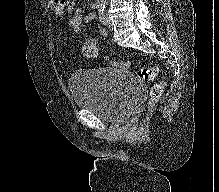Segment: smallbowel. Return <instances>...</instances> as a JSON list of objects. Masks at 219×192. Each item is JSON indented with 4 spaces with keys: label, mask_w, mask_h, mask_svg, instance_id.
I'll return each instance as SVG.
<instances>
[{
    "label": "small bowel",
    "mask_w": 219,
    "mask_h": 192,
    "mask_svg": "<svg viewBox=\"0 0 219 192\" xmlns=\"http://www.w3.org/2000/svg\"><path fill=\"white\" fill-rule=\"evenodd\" d=\"M49 7L57 15L63 14L65 10L72 12L73 14L69 20V25L76 33L81 32L85 25L96 17L95 13L93 12L89 13L88 15H84L82 8L75 7V0H50ZM101 33L103 36L106 35L104 31Z\"/></svg>",
    "instance_id": "obj_1"
}]
</instances>
